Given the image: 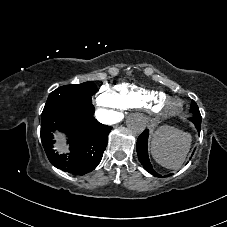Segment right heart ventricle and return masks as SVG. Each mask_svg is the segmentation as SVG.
Wrapping results in <instances>:
<instances>
[{
  "mask_svg": "<svg viewBox=\"0 0 227 227\" xmlns=\"http://www.w3.org/2000/svg\"><path fill=\"white\" fill-rule=\"evenodd\" d=\"M112 93L123 110L152 112L159 101L168 97L162 91L149 90L130 83H121L112 88Z\"/></svg>",
  "mask_w": 227,
  "mask_h": 227,
  "instance_id": "1",
  "label": "right heart ventricle"
}]
</instances>
